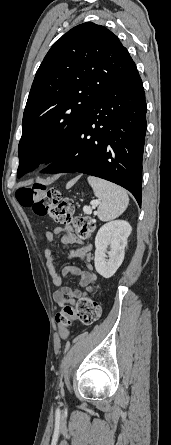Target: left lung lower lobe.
<instances>
[{"label": "left lung lower lobe", "mask_w": 171, "mask_h": 445, "mask_svg": "<svg viewBox=\"0 0 171 445\" xmlns=\"http://www.w3.org/2000/svg\"><path fill=\"white\" fill-rule=\"evenodd\" d=\"M146 102L137 69L112 84L84 113L43 173L80 172L129 190L141 205Z\"/></svg>", "instance_id": "1"}]
</instances>
